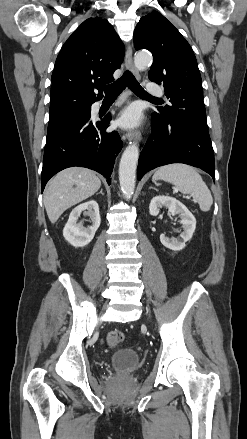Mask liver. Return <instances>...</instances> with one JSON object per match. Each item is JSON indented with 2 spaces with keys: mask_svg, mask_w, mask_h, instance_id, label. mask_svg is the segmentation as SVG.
Listing matches in <instances>:
<instances>
[{
  "mask_svg": "<svg viewBox=\"0 0 247 439\" xmlns=\"http://www.w3.org/2000/svg\"><path fill=\"white\" fill-rule=\"evenodd\" d=\"M96 173L83 167H71L59 172L47 185L44 206L51 223H55L68 208L88 199L100 188Z\"/></svg>",
  "mask_w": 247,
  "mask_h": 439,
  "instance_id": "6515ba94",
  "label": "liver"
}]
</instances>
